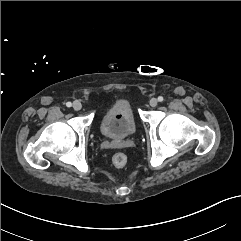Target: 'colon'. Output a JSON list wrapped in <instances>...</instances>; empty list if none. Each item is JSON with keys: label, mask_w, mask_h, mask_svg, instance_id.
I'll list each match as a JSON object with an SVG mask.
<instances>
[{"label": "colon", "mask_w": 241, "mask_h": 241, "mask_svg": "<svg viewBox=\"0 0 241 241\" xmlns=\"http://www.w3.org/2000/svg\"><path fill=\"white\" fill-rule=\"evenodd\" d=\"M127 161V156L124 153L119 152L113 156V164L118 168L124 167Z\"/></svg>", "instance_id": "5ec220e1"}]
</instances>
